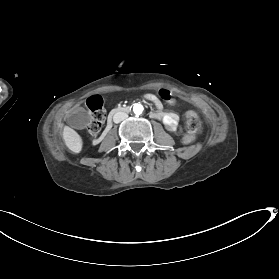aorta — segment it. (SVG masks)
Returning <instances> with one entry per match:
<instances>
[{
	"mask_svg": "<svg viewBox=\"0 0 279 279\" xmlns=\"http://www.w3.org/2000/svg\"><path fill=\"white\" fill-rule=\"evenodd\" d=\"M133 111L136 115H140L143 112V106L141 104H134Z\"/></svg>",
	"mask_w": 279,
	"mask_h": 279,
	"instance_id": "aorta-1",
	"label": "aorta"
}]
</instances>
